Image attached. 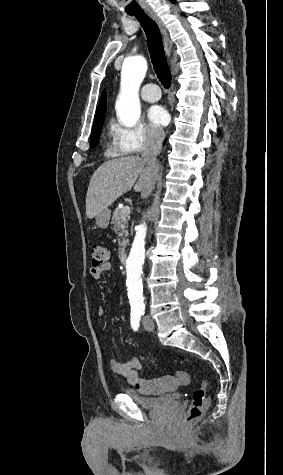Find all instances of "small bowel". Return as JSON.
<instances>
[{
  "instance_id": "small-bowel-1",
  "label": "small bowel",
  "mask_w": 283,
  "mask_h": 475,
  "mask_svg": "<svg viewBox=\"0 0 283 475\" xmlns=\"http://www.w3.org/2000/svg\"><path fill=\"white\" fill-rule=\"evenodd\" d=\"M111 269V264L105 263L100 266H92L89 270V274L92 279L98 280L101 276ZM97 314L99 317H104L106 315V310L104 307L100 306L97 310ZM141 367V362L138 358L133 357L129 358L126 361L122 362L117 359L110 360V368L111 370L117 374L122 376L129 384L136 387L140 391H146L148 389V382L143 380L139 376V369ZM181 379L186 380L189 377L188 372L183 371L180 374ZM182 383H185L181 381ZM154 383L156 385H169L174 383L173 373L167 372L166 376L163 378L161 376H156L154 378Z\"/></svg>"
}]
</instances>
